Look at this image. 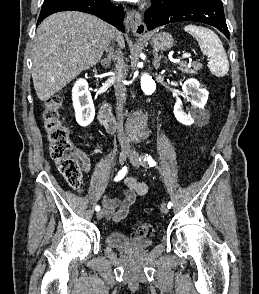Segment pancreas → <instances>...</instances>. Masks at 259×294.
<instances>
[{"mask_svg":"<svg viewBox=\"0 0 259 294\" xmlns=\"http://www.w3.org/2000/svg\"><path fill=\"white\" fill-rule=\"evenodd\" d=\"M202 67L203 65L199 62H192L190 66L186 62H180L178 69L184 73L197 74Z\"/></svg>","mask_w":259,"mask_h":294,"instance_id":"pancreas-1","label":"pancreas"}]
</instances>
